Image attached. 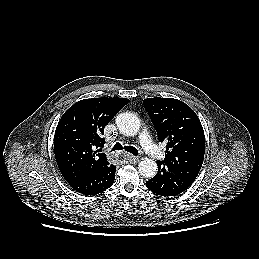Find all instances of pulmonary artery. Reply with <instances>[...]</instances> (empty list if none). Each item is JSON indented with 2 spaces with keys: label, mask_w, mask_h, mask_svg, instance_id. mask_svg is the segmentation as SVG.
<instances>
[{
  "label": "pulmonary artery",
  "mask_w": 259,
  "mask_h": 259,
  "mask_svg": "<svg viewBox=\"0 0 259 259\" xmlns=\"http://www.w3.org/2000/svg\"><path fill=\"white\" fill-rule=\"evenodd\" d=\"M140 143L144 150L151 156L153 159L162 158L161 151L152 143L150 135L147 131H143L140 135Z\"/></svg>",
  "instance_id": "pulmonary-artery-1"
}]
</instances>
